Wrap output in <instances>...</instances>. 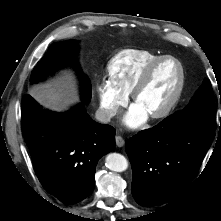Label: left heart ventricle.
<instances>
[{
	"label": "left heart ventricle",
	"instance_id": "obj_1",
	"mask_svg": "<svg viewBox=\"0 0 221 221\" xmlns=\"http://www.w3.org/2000/svg\"><path fill=\"white\" fill-rule=\"evenodd\" d=\"M179 82L178 65L167 60L153 72L147 86L139 94L136 104L149 115L163 108L172 98Z\"/></svg>",
	"mask_w": 221,
	"mask_h": 221
}]
</instances>
